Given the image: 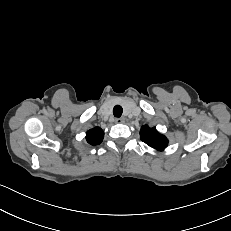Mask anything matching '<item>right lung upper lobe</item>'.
Masks as SVG:
<instances>
[{"label":"right lung upper lobe","mask_w":231,"mask_h":231,"mask_svg":"<svg viewBox=\"0 0 231 231\" xmlns=\"http://www.w3.org/2000/svg\"><path fill=\"white\" fill-rule=\"evenodd\" d=\"M104 132L99 127L90 129L86 133V140L90 145L100 144L103 140Z\"/></svg>","instance_id":"right-lung-upper-lobe-1"}]
</instances>
